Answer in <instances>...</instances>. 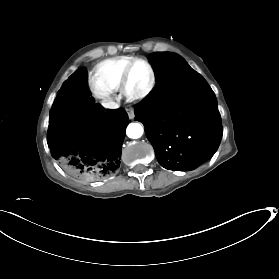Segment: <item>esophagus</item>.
<instances>
[{
  "label": "esophagus",
  "mask_w": 279,
  "mask_h": 279,
  "mask_svg": "<svg viewBox=\"0 0 279 279\" xmlns=\"http://www.w3.org/2000/svg\"><path fill=\"white\" fill-rule=\"evenodd\" d=\"M126 110L128 112L129 118L133 119L135 117L134 109L133 108H127Z\"/></svg>",
  "instance_id": "1"
}]
</instances>
